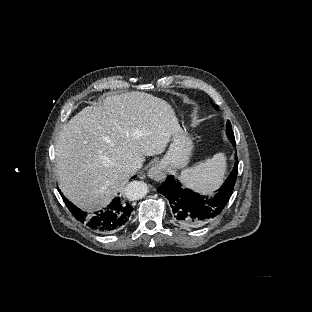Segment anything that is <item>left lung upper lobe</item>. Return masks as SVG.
I'll list each match as a JSON object with an SVG mask.
<instances>
[{
	"label": "left lung upper lobe",
	"mask_w": 312,
	"mask_h": 312,
	"mask_svg": "<svg viewBox=\"0 0 312 312\" xmlns=\"http://www.w3.org/2000/svg\"><path fill=\"white\" fill-rule=\"evenodd\" d=\"M227 135L229 136V138H230L232 141H235L234 133H233V131H232V127H231L230 121L227 122Z\"/></svg>",
	"instance_id": "obj_1"
}]
</instances>
